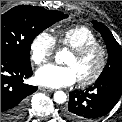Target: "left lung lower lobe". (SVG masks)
<instances>
[{
    "label": "left lung lower lobe",
    "instance_id": "0a47b994",
    "mask_svg": "<svg viewBox=\"0 0 122 122\" xmlns=\"http://www.w3.org/2000/svg\"><path fill=\"white\" fill-rule=\"evenodd\" d=\"M122 94V78L96 81L86 91L71 92L63 115L75 122H88L108 114Z\"/></svg>",
    "mask_w": 122,
    "mask_h": 122
}]
</instances>
